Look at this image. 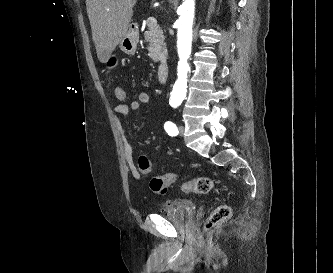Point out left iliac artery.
Listing matches in <instances>:
<instances>
[{"instance_id": "1", "label": "left iliac artery", "mask_w": 333, "mask_h": 273, "mask_svg": "<svg viewBox=\"0 0 333 273\" xmlns=\"http://www.w3.org/2000/svg\"><path fill=\"white\" fill-rule=\"evenodd\" d=\"M164 129L170 136H176L179 133L176 124L171 121L165 122Z\"/></svg>"}]
</instances>
